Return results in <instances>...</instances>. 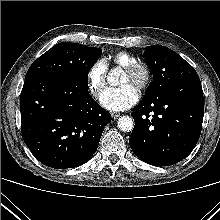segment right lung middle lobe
<instances>
[{"label":"right lung middle lobe","mask_w":220,"mask_h":220,"mask_svg":"<svg viewBox=\"0 0 220 220\" xmlns=\"http://www.w3.org/2000/svg\"><path fill=\"white\" fill-rule=\"evenodd\" d=\"M101 54L100 48L69 42L59 43L33 62L25 79L59 76L87 80L89 70Z\"/></svg>","instance_id":"dd1d6c3e"}]
</instances>
